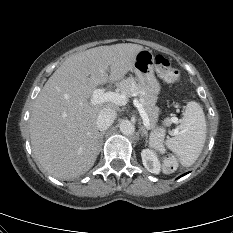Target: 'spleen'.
I'll return each instance as SVG.
<instances>
[{
  "instance_id": "spleen-1",
  "label": "spleen",
  "mask_w": 233,
  "mask_h": 233,
  "mask_svg": "<svg viewBox=\"0 0 233 233\" xmlns=\"http://www.w3.org/2000/svg\"><path fill=\"white\" fill-rule=\"evenodd\" d=\"M206 120L202 107L195 101H190L186 105L184 116L177 128V135L168 138L165 145L177 156L181 165L189 167L193 165L202 152L206 140ZM150 146L159 148L156 139L151 134ZM174 160H165L164 165L167 173L174 169Z\"/></svg>"
}]
</instances>
